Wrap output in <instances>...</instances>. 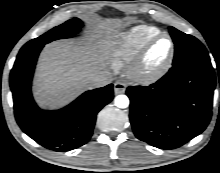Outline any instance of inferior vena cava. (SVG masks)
Wrapping results in <instances>:
<instances>
[{
    "label": "inferior vena cava",
    "instance_id": "inferior-vena-cava-1",
    "mask_svg": "<svg viewBox=\"0 0 220 173\" xmlns=\"http://www.w3.org/2000/svg\"><path fill=\"white\" fill-rule=\"evenodd\" d=\"M113 81L112 75L108 71H102L100 74L90 79V89L99 88L110 84Z\"/></svg>",
    "mask_w": 220,
    "mask_h": 173
}]
</instances>
